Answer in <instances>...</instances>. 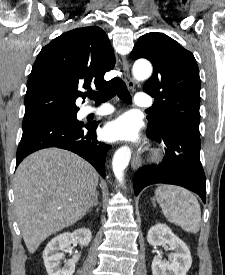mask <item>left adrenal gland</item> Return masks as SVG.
<instances>
[{
    "label": "left adrenal gland",
    "mask_w": 225,
    "mask_h": 275,
    "mask_svg": "<svg viewBox=\"0 0 225 275\" xmlns=\"http://www.w3.org/2000/svg\"><path fill=\"white\" fill-rule=\"evenodd\" d=\"M152 204H153V206H156L155 200H154V199L152 200Z\"/></svg>",
    "instance_id": "left-adrenal-gland-1"
}]
</instances>
